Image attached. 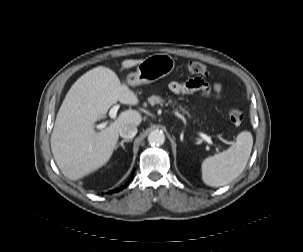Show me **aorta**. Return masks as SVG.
<instances>
[{"mask_svg": "<svg viewBox=\"0 0 303 252\" xmlns=\"http://www.w3.org/2000/svg\"><path fill=\"white\" fill-rule=\"evenodd\" d=\"M148 141L152 145H162L165 142V135L161 130H153L148 135Z\"/></svg>", "mask_w": 303, "mask_h": 252, "instance_id": "762f6f07", "label": "aorta"}]
</instances>
